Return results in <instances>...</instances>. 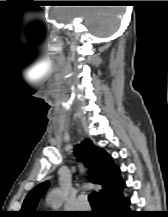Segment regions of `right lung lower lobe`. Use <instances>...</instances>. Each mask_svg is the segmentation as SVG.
<instances>
[{"label": "right lung lower lobe", "instance_id": "obj_1", "mask_svg": "<svg viewBox=\"0 0 168 217\" xmlns=\"http://www.w3.org/2000/svg\"><path fill=\"white\" fill-rule=\"evenodd\" d=\"M129 205L130 200L123 196L121 190L100 202L99 217H136L137 215L129 210Z\"/></svg>", "mask_w": 168, "mask_h": 217}]
</instances>
